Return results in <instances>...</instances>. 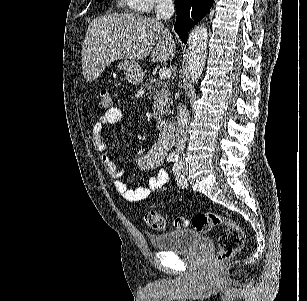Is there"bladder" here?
Returning <instances> with one entry per match:
<instances>
[{"label":"bladder","instance_id":"1","mask_svg":"<svg viewBox=\"0 0 307 301\" xmlns=\"http://www.w3.org/2000/svg\"><path fill=\"white\" fill-rule=\"evenodd\" d=\"M155 250L170 253L190 252L203 242L200 232L188 229H175L173 232L152 236Z\"/></svg>","mask_w":307,"mask_h":301}]
</instances>
